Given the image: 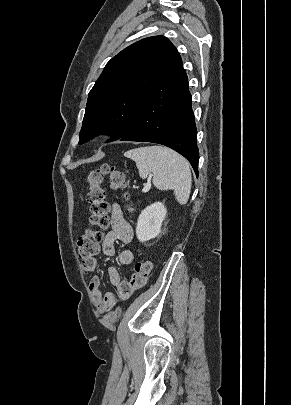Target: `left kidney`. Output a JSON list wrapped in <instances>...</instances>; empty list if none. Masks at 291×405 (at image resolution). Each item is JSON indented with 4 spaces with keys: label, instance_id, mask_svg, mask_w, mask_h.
<instances>
[{
    "label": "left kidney",
    "instance_id": "1",
    "mask_svg": "<svg viewBox=\"0 0 291 405\" xmlns=\"http://www.w3.org/2000/svg\"><path fill=\"white\" fill-rule=\"evenodd\" d=\"M166 213L167 209L161 202H155L141 212L136 226V235L140 242H146L160 234Z\"/></svg>",
    "mask_w": 291,
    "mask_h": 405
}]
</instances>
